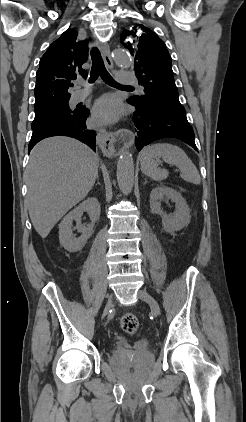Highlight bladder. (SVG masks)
I'll return each instance as SVG.
<instances>
[{"mask_svg":"<svg viewBox=\"0 0 246 422\" xmlns=\"http://www.w3.org/2000/svg\"><path fill=\"white\" fill-rule=\"evenodd\" d=\"M145 359H146L148 362H152V361H153V355H152V354L147 353V354H145Z\"/></svg>","mask_w":246,"mask_h":422,"instance_id":"bladder-1","label":"bladder"}]
</instances>
